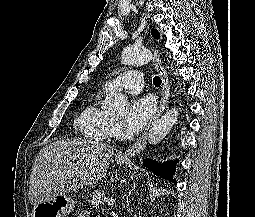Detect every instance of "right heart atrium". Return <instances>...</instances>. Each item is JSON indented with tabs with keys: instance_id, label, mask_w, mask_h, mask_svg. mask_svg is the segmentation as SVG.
Segmentation results:
<instances>
[{
	"instance_id": "d8ad5b80",
	"label": "right heart atrium",
	"mask_w": 255,
	"mask_h": 217,
	"mask_svg": "<svg viewBox=\"0 0 255 217\" xmlns=\"http://www.w3.org/2000/svg\"><path fill=\"white\" fill-rule=\"evenodd\" d=\"M111 133L115 136L119 135L120 133L119 124L116 121L112 122Z\"/></svg>"
}]
</instances>
